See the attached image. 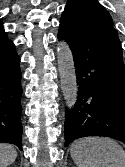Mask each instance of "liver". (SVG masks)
<instances>
[{
  "label": "liver",
  "instance_id": "1",
  "mask_svg": "<svg viewBox=\"0 0 125 167\" xmlns=\"http://www.w3.org/2000/svg\"><path fill=\"white\" fill-rule=\"evenodd\" d=\"M17 157L16 148L13 145L0 143V167H7L12 164Z\"/></svg>",
  "mask_w": 125,
  "mask_h": 167
}]
</instances>
